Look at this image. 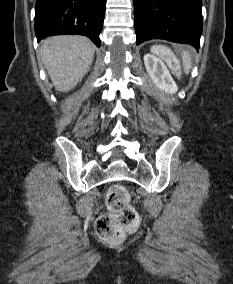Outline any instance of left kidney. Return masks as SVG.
I'll return each mask as SVG.
<instances>
[{"label": "left kidney", "mask_w": 233, "mask_h": 284, "mask_svg": "<svg viewBox=\"0 0 233 284\" xmlns=\"http://www.w3.org/2000/svg\"><path fill=\"white\" fill-rule=\"evenodd\" d=\"M144 64L150 78L159 89L169 94L176 93L177 85L160 58L148 53L144 56Z\"/></svg>", "instance_id": "5707ae66"}]
</instances>
